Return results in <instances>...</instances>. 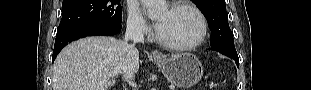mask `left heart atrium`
<instances>
[{
    "label": "left heart atrium",
    "mask_w": 311,
    "mask_h": 90,
    "mask_svg": "<svg viewBox=\"0 0 311 90\" xmlns=\"http://www.w3.org/2000/svg\"><path fill=\"white\" fill-rule=\"evenodd\" d=\"M159 27H160V22L158 21V22L156 23V28H157V30L159 29Z\"/></svg>",
    "instance_id": "39dd6f15"
}]
</instances>
